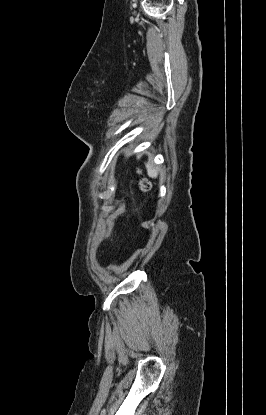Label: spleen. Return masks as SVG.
Instances as JSON below:
<instances>
[{
  "label": "spleen",
  "mask_w": 266,
  "mask_h": 415,
  "mask_svg": "<svg viewBox=\"0 0 266 415\" xmlns=\"http://www.w3.org/2000/svg\"><path fill=\"white\" fill-rule=\"evenodd\" d=\"M147 173L148 176L151 178H157L160 169L158 167H154L151 163H146Z\"/></svg>",
  "instance_id": "1"
}]
</instances>
